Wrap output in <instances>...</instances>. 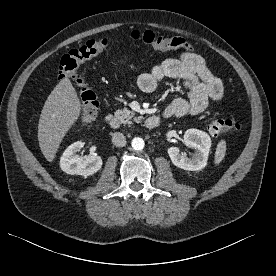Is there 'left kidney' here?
I'll list each match as a JSON object with an SVG mask.
<instances>
[{"instance_id":"obj_1","label":"left kidney","mask_w":276,"mask_h":276,"mask_svg":"<svg viewBox=\"0 0 276 276\" xmlns=\"http://www.w3.org/2000/svg\"><path fill=\"white\" fill-rule=\"evenodd\" d=\"M184 144L195 150L193 157L188 158L181 153L178 147L168 148V155L172 163L183 170L198 171L207 165L208 155L211 147L210 136L198 129H188L184 134Z\"/></svg>"}]
</instances>
